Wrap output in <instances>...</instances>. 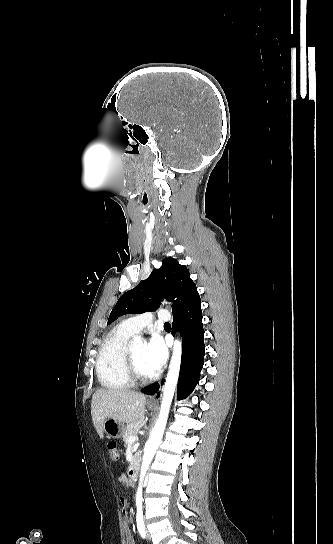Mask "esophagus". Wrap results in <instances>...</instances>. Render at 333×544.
Here are the masks:
<instances>
[{"mask_svg": "<svg viewBox=\"0 0 333 544\" xmlns=\"http://www.w3.org/2000/svg\"><path fill=\"white\" fill-rule=\"evenodd\" d=\"M149 402H150V403H155V402H156V399H155V397H154V396H153V397H151V398L149 399Z\"/></svg>", "mask_w": 333, "mask_h": 544, "instance_id": "1", "label": "esophagus"}]
</instances>
